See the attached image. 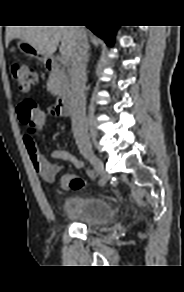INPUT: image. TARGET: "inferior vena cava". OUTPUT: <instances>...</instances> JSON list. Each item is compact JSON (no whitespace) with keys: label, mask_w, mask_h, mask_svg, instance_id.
Listing matches in <instances>:
<instances>
[{"label":"inferior vena cava","mask_w":184,"mask_h":292,"mask_svg":"<svg viewBox=\"0 0 184 292\" xmlns=\"http://www.w3.org/2000/svg\"><path fill=\"white\" fill-rule=\"evenodd\" d=\"M78 38L71 56L70 104L72 130L80 151H90L91 143L86 121L85 83L89 44L84 26H76Z\"/></svg>","instance_id":"obj_1"}]
</instances>
